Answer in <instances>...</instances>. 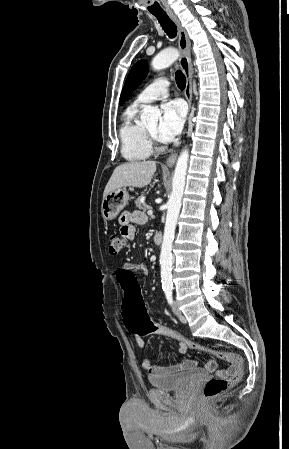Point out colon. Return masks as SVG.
<instances>
[{
  "instance_id": "5ec220e1",
  "label": "colon",
  "mask_w": 289,
  "mask_h": 449,
  "mask_svg": "<svg viewBox=\"0 0 289 449\" xmlns=\"http://www.w3.org/2000/svg\"><path fill=\"white\" fill-rule=\"evenodd\" d=\"M124 247L125 238L122 235L111 234L109 236V251L111 254H119ZM116 280H118L120 289L123 292L124 321L130 332L140 336L155 334L174 340H182L191 349L214 355L236 365V371L230 376L217 375L208 380L204 387V396L206 398L211 399L221 395L243 378L244 365L237 355L190 340L162 325L154 323L146 312L132 268H117Z\"/></svg>"
}]
</instances>
